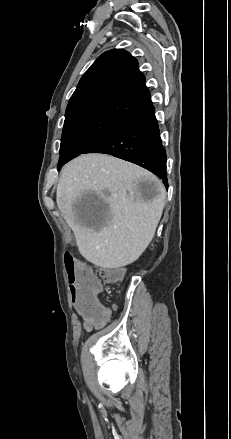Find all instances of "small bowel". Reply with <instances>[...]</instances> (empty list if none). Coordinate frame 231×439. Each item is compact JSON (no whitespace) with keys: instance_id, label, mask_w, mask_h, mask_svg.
Returning a JSON list of instances; mask_svg holds the SVG:
<instances>
[{"instance_id":"1","label":"small bowel","mask_w":231,"mask_h":439,"mask_svg":"<svg viewBox=\"0 0 231 439\" xmlns=\"http://www.w3.org/2000/svg\"><path fill=\"white\" fill-rule=\"evenodd\" d=\"M79 314L84 319V328H85V330L86 331H91L92 329H100V328H102L106 324V322L109 319V317L111 316V311L109 309H107V312H106L107 317L104 320H101V319L100 320H86L84 318L83 313H79Z\"/></svg>"}]
</instances>
